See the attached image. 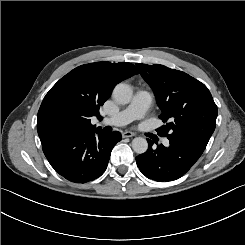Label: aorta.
I'll return each instance as SVG.
<instances>
[{
	"instance_id": "762f6f07",
	"label": "aorta",
	"mask_w": 245,
	"mask_h": 245,
	"mask_svg": "<svg viewBox=\"0 0 245 245\" xmlns=\"http://www.w3.org/2000/svg\"><path fill=\"white\" fill-rule=\"evenodd\" d=\"M112 94L119 104H128L133 96L131 87L125 83L117 84ZM132 148L137 154H143L148 149V142L143 137H136L132 140Z\"/></svg>"
}]
</instances>
